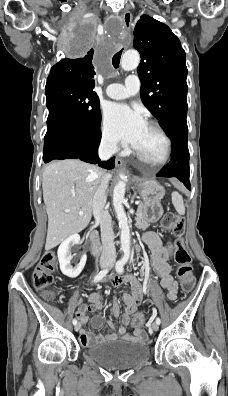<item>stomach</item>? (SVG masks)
Returning a JSON list of instances; mask_svg holds the SVG:
<instances>
[{
    "instance_id": "0dacf381",
    "label": "stomach",
    "mask_w": 228,
    "mask_h": 396,
    "mask_svg": "<svg viewBox=\"0 0 228 396\" xmlns=\"http://www.w3.org/2000/svg\"><path fill=\"white\" fill-rule=\"evenodd\" d=\"M137 190L142 199L141 207L143 213L138 215L144 216L147 222L158 220L163 214L161 200L165 195L164 188L155 180L137 181Z\"/></svg>"
}]
</instances>
